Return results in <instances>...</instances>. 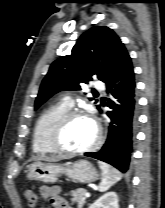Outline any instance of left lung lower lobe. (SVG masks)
<instances>
[{"label":"left lung lower lobe","instance_id":"1","mask_svg":"<svg viewBox=\"0 0 165 208\" xmlns=\"http://www.w3.org/2000/svg\"><path fill=\"white\" fill-rule=\"evenodd\" d=\"M105 83L110 96L106 106L112 109L107 112L112 123L109 135L100 151L85 153V156L104 161L126 173L130 169L138 122L136 85L129 55Z\"/></svg>","mask_w":165,"mask_h":208}]
</instances>
